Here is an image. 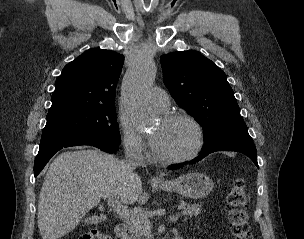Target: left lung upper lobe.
Listing matches in <instances>:
<instances>
[{
	"label": "left lung upper lobe",
	"instance_id": "obj_1",
	"mask_svg": "<svg viewBox=\"0 0 304 239\" xmlns=\"http://www.w3.org/2000/svg\"><path fill=\"white\" fill-rule=\"evenodd\" d=\"M163 80L178 105L203 126L205 148L252 142L226 74L197 51L162 55Z\"/></svg>",
	"mask_w": 304,
	"mask_h": 239
}]
</instances>
